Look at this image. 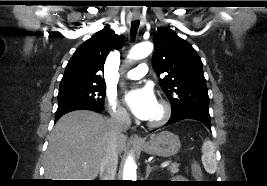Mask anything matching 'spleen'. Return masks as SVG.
I'll list each match as a JSON object with an SVG mask.
<instances>
[{"label":"spleen","mask_w":267,"mask_h":186,"mask_svg":"<svg viewBox=\"0 0 267 186\" xmlns=\"http://www.w3.org/2000/svg\"><path fill=\"white\" fill-rule=\"evenodd\" d=\"M215 147L212 141L206 139L202 146V163L208 173H214L217 169Z\"/></svg>","instance_id":"3e777b00"}]
</instances>
